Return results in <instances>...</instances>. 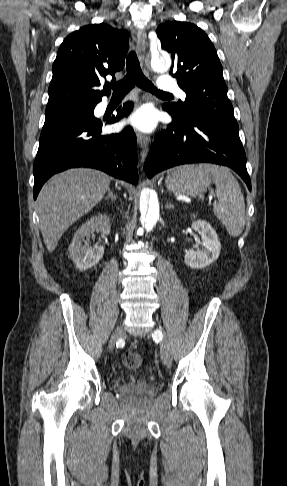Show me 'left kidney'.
Masks as SVG:
<instances>
[{
    "mask_svg": "<svg viewBox=\"0 0 287 486\" xmlns=\"http://www.w3.org/2000/svg\"><path fill=\"white\" fill-rule=\"evenodd\" d=\"M193 218L192 228L201 235L204 248L194 251L188 250L185 253V264L194 269H201L212 264L220 254L221 244L213 227L205 220Z\"/></svg>",
    "mask_w": 287,
    "mask_h": 486,
    "instance_id": "left-kidney-1",
    "label": "left kidney"
}]
</instances>
